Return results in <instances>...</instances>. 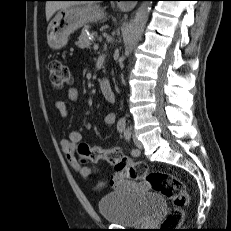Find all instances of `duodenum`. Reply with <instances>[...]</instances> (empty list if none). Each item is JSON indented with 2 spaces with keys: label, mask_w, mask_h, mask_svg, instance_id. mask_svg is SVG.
Segmentation results:
<instances>
[{
  "label": "duodenum",
  "mask_w": 231,
  "mask_h": 231,
  "mask_svg": "<svg viewBox=\"0 0 231 231\" xmlns=\"http://www.w3.org/2000/svg\"><path fill=\"white\" fill-rule=\"evenodd\" d=\"M100 90L108 102L114 103L116 101V94L108 81L101 80Z\"/></svg>",
  "instance_id": "1"
}]
</instances>
